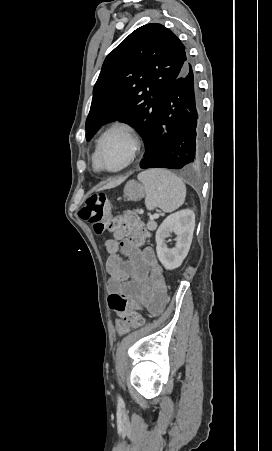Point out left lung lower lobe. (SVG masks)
<instances>
[{"mask_svg":"<svg viewBox=\"0 0 272 451\" xmlns=\"http://www.w3.org/2000/svg\"><path fill=\"white\" fill-rule=\"evenodd\" d=\"M201 108L197 82L187 58L170 86L141 168L193 170L202 162Z\"/></svg>","mask_w":272,"mask_h":451,"instance_id":"0a47b994","label":"left lung lower lobe"}]
</instances>
